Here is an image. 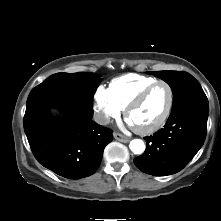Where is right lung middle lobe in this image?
<instances>
[{
	"label": "right lung middle lobe",
	"instance_id": "obj_1",
	"mask_svg": "<svg viewBox=\"0 0 221 221\" xmlns=\"http://www.w3.org/2000/svg\"><path fill=\"white\" fill-rule=\"evenodd\" d=\"M100 81V75L91 72L56 73L32 89L27 107L40 101L54 100L93 114V96Z\"/></svg>",
	"mask_w": 221,
	"mask_h": 221
}]
</instances>
